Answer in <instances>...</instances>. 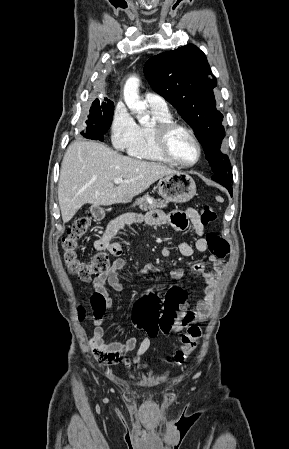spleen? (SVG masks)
<instances>
[{
	"mask_svg": "<svg viewBox=\"0 0 289 449\" xmlns=\"http://www.w3.org/2000/svg\"><path fill=\"white\" fill-rule=\"evenodd\" d=\"M217 200H218L219 202H223V199L220 198V197H218Z\"/></svg>",
	"mask_w": 289,
	"mask_h": 449,
	"instance_id": "1",
	"label": "spleen"
}]
</instances>
